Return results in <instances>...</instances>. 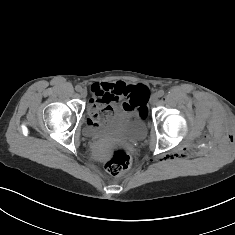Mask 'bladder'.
Instances as JSON below:
<instances>
[{"label":"bladder","mask_w":235,"mask_h":235,"mask_svg":"<svg viewBox=\"0 0 235 235\" xmlns=\"http://www.w3.org/2000/svg\"><path fill=\"white\" fill-rule=\"evenodd\" d=\"M84 131L89 137L112 135L130 141H138L145 137L147 126L140 111H118L108 121L102 122L100 125L95 126L87 123Z\"/></svg>","instance_id":"31cf9c89"}]
</instances>
